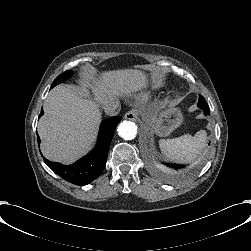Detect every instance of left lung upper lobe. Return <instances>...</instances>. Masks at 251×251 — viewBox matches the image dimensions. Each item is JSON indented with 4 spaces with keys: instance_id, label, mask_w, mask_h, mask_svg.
Listing matches in <instances>:
<instances>
[{
    "instance_id": "1",
    "label": "left lung upper lobe",
    "mask_w": 251,
    "mask_h": 251,
    "mask_svg": "<svg viewBox=\"0 0 251 251\" xmlns=\"http://www.w3.org/2000/svg\"><path fill=\"white\" fill-rule=\"evenodd\" d=\"M198 106L201 108H208V104L206 103L205 99L201 95L199 96Z\"/></svg>"
}]
</instances>
